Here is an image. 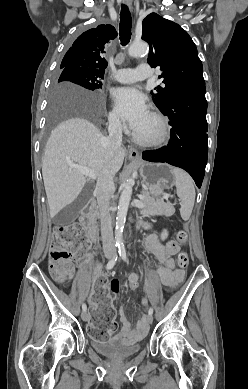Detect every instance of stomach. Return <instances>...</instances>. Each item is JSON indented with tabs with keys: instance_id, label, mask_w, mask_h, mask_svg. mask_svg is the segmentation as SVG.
<instances>
[{
	"instance_id": "0dacf381",
	"label": "stomach",
	"mask_w": 248,
	"mask_h": 389,
	"mask_svg": "<svg viewBox=\"0 0 248 389\" xmlns=\"http://www.w3.org/2000/svg\"><path fill=\"white\" fill-rule=\"evenodd\" d=\"M138 167L143 183L153 197L160 196L175 183L174 171L167 164L142 161L138 163Z\"/></svg>"
}]
</instances>
